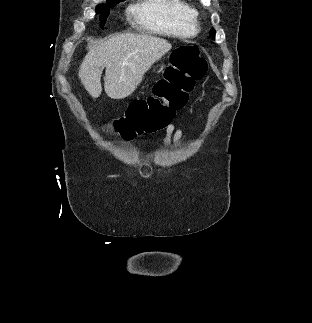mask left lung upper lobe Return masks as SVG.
Listing matches in <instances>:
<instances>
[{"label": "left lung upper lobe", "instance_id": "5c2ea615", "mask_svg": "<svg viewBox=\"0 0 312 323\" xmlns=\"http://www.w3.org/2000/svg\"><path fill=\"white\" fill-rule=\"evenodd\" d=\"M210 33L212 34V37L214 38L215 37V30L211 29Z\"/></svg>", "mask_w": 312, "mask_h": 323}]
</instances>
